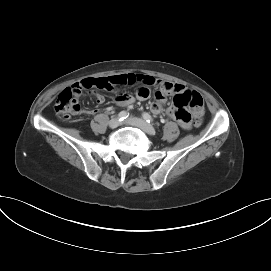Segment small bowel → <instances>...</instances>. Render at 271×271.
Instances as JSON below:
<instances>
[{
	"label": "small bowel",
	"instance_id": "1",
	"mask_svg": "<svg viewBox=\"0 0 271 271\" xmlns=\"http://www.w3.org/2000/svg\"><path fill=\"white\" fill-rule=\"evenodd\" d=\"M96 81V82H95ZM95 82V85L100 90H105L108 93L115 95V102L120 106H128L133 104L136 100L144 101L150 97V87H156L154 100L151 104V111L154 114H160L164 111V104L166 97L169 95H184L189 93L183 85L166 82L156 79L150 75L140 73H127L112 75L109 77L88 78L82 83ZM140 83L142 86L137 90L136 95L125 93L129 86ZM97 103H102L104 97L96 92H93ZM97 110H91L90 113H96ZM166 114L176 119L179 125L184 130H189L192 126L191 114L183 107L177 106L175 103L166 109Z\"/></svg>",
	"mask_w": 271,
	"mask_h": 271
}]
</instances>
